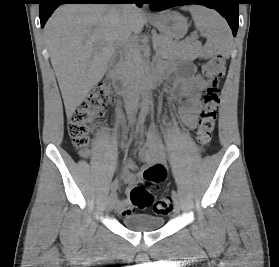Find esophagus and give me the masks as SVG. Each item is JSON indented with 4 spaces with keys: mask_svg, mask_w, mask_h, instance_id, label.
<instances>
[{
    "mask_svg": "<svg viewBox=\"0 0 279 267\" xmlns=\"http://www.w3.org/2000/svg\"><path fill=\"white\" fill-rule=\"evenodd\" d=\"M143 11H144V14L147 15V16H151L152 15V13L149 10V7L147 5L143 6Z\"/></svg>",
    "mask_w": 279,
    "mask_h": 267,
    "instance_id": "obj_1",
    "label": "esophagus"
}]
</instances>
